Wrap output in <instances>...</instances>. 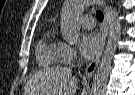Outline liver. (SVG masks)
Listing matches in <instances>:
<instances>
[{
	"instance_id": "6515ba94",
	"label": "liver",
	"mask_w": 135,
	"mask_h": 95,
	"mask_svg": "<svg viewBox=\"0 0 135 95\" xmlns=\"http://www.w3.org/2000/svg\"><path fill=\"white\" fill-rule=\"evenodd\" d=\"M78 78L70 68L52 67L39 71L25 86V95H75Z\"/></svg>"
}]
</instances>
